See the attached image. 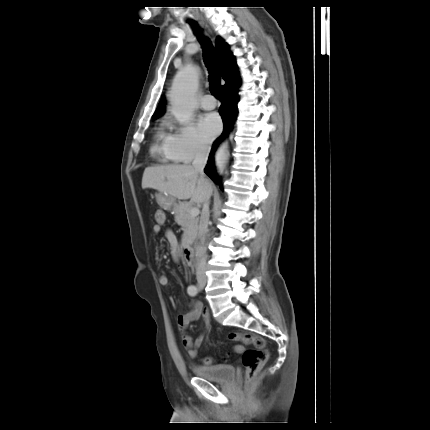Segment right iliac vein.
I'll return each mask as SVG.
<instances>
[{
    "instance_id": "right-iliac-vein-1",
    "label": "right iliac vein",
    "mask_w": 430,
    "mask_h": 430,
    "mask_svg": "<svg viewBox=\"0 0 430 430\" xmlns=\"http://www.w3.org/2000/svg\"><path fill=\"white\" fill-rule=\"evenodd\" d=\"M205 283L204 279H199V284Z\"/></svg>"
}]
</instances>
